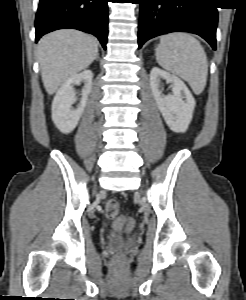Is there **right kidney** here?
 Instances as JSON below:
<instances>
[{"instance_id":"ca27d5eb","label":"right kidney","mask_w":246,"mask_h":300,"mask_svg":"<svg viewBox=\"0 0 246 300\" xmlns=\"http://www.w3.org/2000/svg\"><path fill=\"white\" fill-rule=\"evenodd\" d=\"M92 79V71L84 70L69 77L57 91L52 102V121L62 133L68 134L77 126L92 89ZM81 82L84 83L82 98L79 106L73 109L72 104L76 100L73 86L79 85Z\"/></svg>"}]
</instances>
